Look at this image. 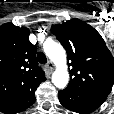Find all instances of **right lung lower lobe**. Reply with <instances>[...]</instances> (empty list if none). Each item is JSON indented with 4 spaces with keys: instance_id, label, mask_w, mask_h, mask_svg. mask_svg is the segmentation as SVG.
Instances as JSON below:
<instances>
[{
    "instance_id": "obj_1",
    "label": "right lung lower lobe",
    "mask_w": 114,
    "mask_h": 114,
    "mask_svg": "<svg viewBox=\"0 0 114 114\" xmlns=\"http://www.w3.org/2000/svg\"><path fill=\"white\" fill-rule=\"evenodd\" d=\"M36 89L37 87L30 91L20 93L7 101L0 103V112L15 114L29 108L35 102Z\"/></svg>"
}]
</instances>
